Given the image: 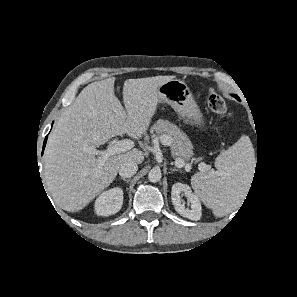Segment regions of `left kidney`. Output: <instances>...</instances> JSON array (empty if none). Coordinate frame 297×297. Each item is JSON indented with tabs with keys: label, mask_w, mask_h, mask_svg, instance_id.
Here are the masks:
<instances>
[{
	"label": "left kidney",
	"mask_w": 297,
	"mask_h": 297,
	"mask_svg": "<svg viewBox=\"0 0 297 297\" xmlns=\"http://www.w3.org/2000/svg\"><path fill=\"white\" fill-rule=\"evenodd\" d=\"M183 195L187 197V200L190 203V208H185L184 204L182 203L181 197ZM171 200L175 210L183 217L194 221H197L201 218L202 208L199 196L196 193H193L188 185L175 183L172 186Z\"/></svg>",
	"instance_id": "5707ae66"
}]
</instances>
